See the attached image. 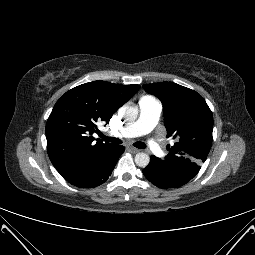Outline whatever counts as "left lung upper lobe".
Instances as JSON below:
<instances>
[{"label": "left lung upper lobe", "instance_id": "left-lung-upper-lobe-1", "mask_svg": "<svg viewBox=\"0 0 255 255\" xmlns=\"http://www.w3.org/2000/svg\"><path fill=\"white\" fill-rule=\"evenodd\" d=\"M143 88L161 100L167 137L176 140L168 146L165 159L156 157L157 161L177 173L194 177L212 144L210 108L196 91L172 82L146 84Z\"/></svg>", "mask_w": 255, "mask_h": 255}]
</instances>
